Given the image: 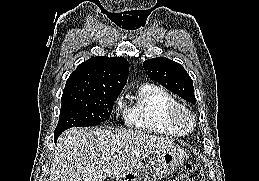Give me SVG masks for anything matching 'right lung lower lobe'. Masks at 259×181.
<instances>
[{"instance_id":"1","label":"right lung lower lobe","mask_w":259,"mask_h":181,"mask_svg":"<svg viewBox=\"0 0 259 181\" xmlns=\"http://www.w3.org/2000/svg\"><path fill=\"white\" fill-rule=\"evenodd\" d=\"M57 138H58V136H55V137H54L55 142L57 141Z\"/></svg>"}]
</instances>
